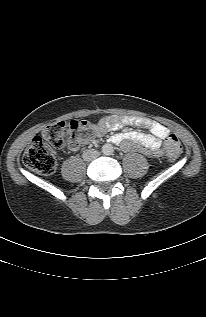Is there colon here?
<instances>
[{"label":"colon","mask_w":206,"mask_h":317,"mask_svg":"<svg viewBox=\"0 0 206 317\" xmlns=\"http://www.w3.org/2000/svg\"><path fill=\"white\" fill-rule=\"evenodd\" d=\"M95 134L96 128L83 121H61L52 124L42 132L41 136H36L32 140L24 152L23 162L34 172L42 175L53 174L57 169V161L50 147L59 149L72 147L89 140ZM166 151L171 160L179 155L181 144L176 135L170 133L167 136Z\"/></svg>","instance_id":"5ec220e1"}]
</instances>
